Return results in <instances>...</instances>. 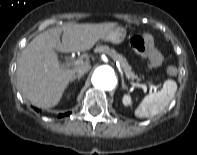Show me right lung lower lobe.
<instances>
[{
    "mask_svg": "<svg viewBox=\"0 0 197 155\" xmlns=\"http://www.w3.org/2000/svg\"><path fill=\"white\" fill-rule=\"evenodd\" d=\"M35 110L38 111L36 108H35ZM69 114H70L69 112L68 113H65V114H60L59 117L67 116Z\"/></svg>",
    "mask_w": 197,
    "mask_h": 155,
    "instance_id": "right-lung-lower-lobe-1",
    "label": "right lung lower lobe"
}]
</instances>
